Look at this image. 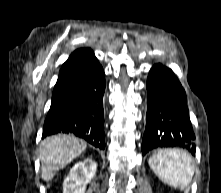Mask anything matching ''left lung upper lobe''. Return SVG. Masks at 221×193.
Returning <instances> with one entry per match:
<instances>
[{"label":"left lung upper lobe","instance_id":"obj_1","mask_svg":"<svg viewBox=\"0 0 221 193\" xmlns=\"http://www.w3.org/2000/svg\"><path fill=\"white\" fill-rule=\"evenodd\" d=\"M163 118L164 121L169 125H172L174 123L173 113L169 108L163 109Z\"/></svg>","mask_w":221,"mask_h":193}]
</instances>
